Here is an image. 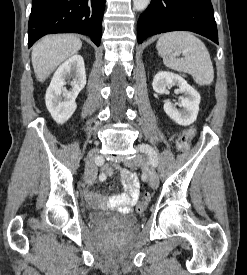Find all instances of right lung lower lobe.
<instances>
[{"instance_id": "obj_1", "label": "right lung lower lobe", "mask_w": 247, "mask_h": 275, "mask_svg": "<svg viewBox=\"0 0 247 275\" xmlns=\"http://www.w3.org/2000/svg\"><path fill=\"white\" fill-rule=\"evenodd\" d=\"M105 0H32L28 46L50 33H80L100 45Z\"/></svg>"}]
</instances>
